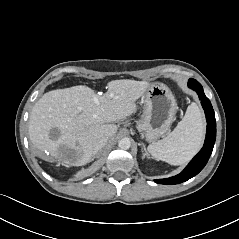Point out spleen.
<instances>
[{"mask_svg":"<svg viewBox=\"0 0 239 239\" xmlns=\"http://www.w3.org/2000/svg\"><path fill=\"white\" fill-rule=\"evenodd\" d=\"M204 134L201 111L196 103H192L176 128L162 140L151 143L147 149L158 160L171 165H182L199 151Z\"/></svg>","mask_w":239,"mask_h":239,"instance_id":"obj_1","label":"spleen"}]
</instances>
